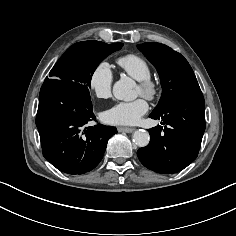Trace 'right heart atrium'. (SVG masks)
I'll list each match as a JSON object with an SVG mask.
<instances>
[{
	"mask_svg": "<svg viewBox=\"0 0 236 236\" xmlns=\"http://www.w3.org/2000/svg\"><path fill=\"white\" fill-rule=\"evenodd\" d=\"M113 73L107 62L98 63L88 77V88L97 98H107L111 94Z\"/></svg>",
	"mask_w": 236,
	"mask_h": 236,
	"instance_id": "d8ad5b80",
	"label": "right heart atrium"
}]
</instances>
